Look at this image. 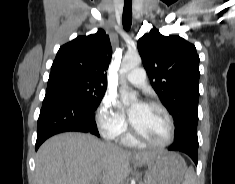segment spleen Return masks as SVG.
<instances>
[{
    "label": "spleen",
    "mask_w": 235,
    "mask_h": 184,
    "mask_svg": "<svg viewBox=\"0 0 235 184\" xmlns=\"http://www.w3.org/2000/svg\"><path fill=\"white\" fill-rule=\"evenodd\" d=\"M184 178H185V180H184L183 184H195L196 174H195L194 168H192V166H190L189 170H187Z\"/></svg>",
    "instance_id": "obj_1"
}]
</instances>
